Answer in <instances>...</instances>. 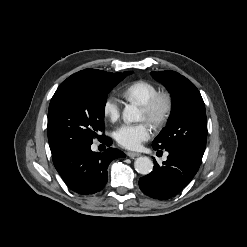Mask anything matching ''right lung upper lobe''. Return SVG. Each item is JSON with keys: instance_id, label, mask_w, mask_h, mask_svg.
Listing matches in <instances>:
<instances>
[{"instance_id": "obj_1", "label": "right lung upper lobe", "mask_w": 247, "mask_h": 247, "mask_svg": "<svg viewBox=\"0 0 247 247\" xmlns=\"http://www.w3.org/2000/svg\"><path fill=\"white\" fill-rule=\"evenodd\" d=\"M116 74V73H115ZM113 73L101 71V70H95V69H85L80 72H77L73 75H86V76H93L97 78H104L115 75Z\"/></svg>"}]
</instances>
